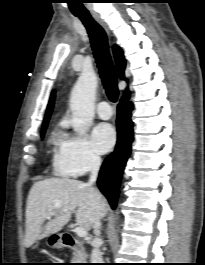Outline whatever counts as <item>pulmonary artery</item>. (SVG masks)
Returning <instances> with one entry per match:
<instances>
[{
	"label": "pulmonary artery",
	"mask_w": 205,
	"mask_h": 265,
	"mask_svg": "<svg viewBox=\"0 0 205 265\" xmlns=\"http://www.w3.org/2000/svg\"><path fill=\"white\" fill-rule=\"evenodd\" d=\"M96 111L101 119H109L112 116L111 106L106 101L98 103Z\"/></svg>",
	"instance_id": "1"
}]
</instances>
